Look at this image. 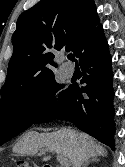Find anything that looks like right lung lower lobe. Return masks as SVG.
<instances>
[{"mask_svg": "<svg viewBox=\"0 0 125 167\" xmlns=\"http://www.w3.org/2000/svg\"><path fill=\"white\" fill-rule=\"evenodd\" d=\"M78 58L83 71L81 84L85 85H70L63 101L49 107L34 123L70 121L114 150L112 58L103 30L83 48Z\"/></svg>", "mask_w": 125, "mask_h": 167, "instance_id": "right-lung-lower-lobe-1", "label": "right lung lower lobe"}]
</instances>
